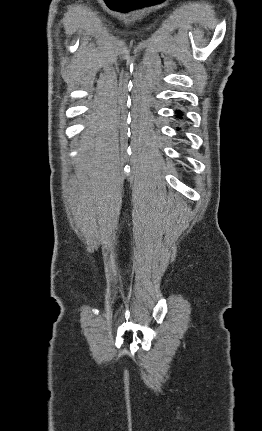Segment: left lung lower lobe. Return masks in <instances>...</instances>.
<instances>
[{
    "label": "left lung lower lobe",
    "instance_id": "obj_1",
    "mask_svg": "<svg viewBox=\"0 0 262 431\" xmlns=\"http://www.w3.org/2000/svg\"><path fill=\"white\" fill-rule=\"evenodd\" d=\"M181 114H178L177 116L179 117ZM179 118H181V117H179Z\"/></svg>",
    "mask_w": 262,
    "mask_h": 431
}]
</instances>
